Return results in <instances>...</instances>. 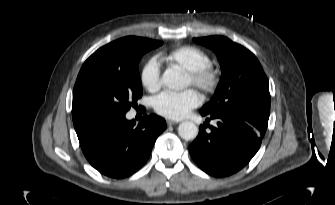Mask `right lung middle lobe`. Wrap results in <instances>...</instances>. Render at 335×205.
<instances>
[{"instance_id":"dd1d6c3e","label":"right lung middle lobe","mask_w":335,"mask_h":205,"mask_svg":"<svg viewBox=\"0 0 335 205\" xmlns=\"http://www.w3.org/2000/svg\"><path fill=\"white\" fill-rule=\"evenodd\" d=\"M110 44L79 72L73 90L74 124L126 114L142 96L139 61L162 42L130 36ZM115 56L122 58L112 62Z\"/></svg>"}]
</instances>
